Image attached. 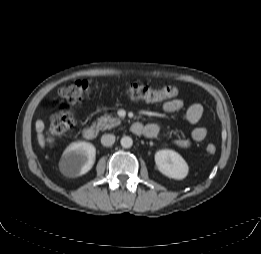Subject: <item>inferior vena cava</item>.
<instances>
[{
  "label": "inferior vena cava",
  "instance_id": "1",
  "mask_svg": "<svg viewBox=\"0 0 261 254\" xmlns=\"http://www.w3.org/2000/svg\"><path fill=\"white\" fill-rule=\"evenodd\" d=\"M115 142V136L112 135V134H104L102 137H101V143L103 146H111L113 145Z\"/></svg>",
  "mask_w": 261,
  "mask_h": 254
}]
</instances>
